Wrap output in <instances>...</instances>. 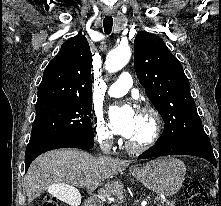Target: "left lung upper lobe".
<instances>
[{
    "label": "left lung upper lobe",
    "instance_id": "5c2ea615",
    "mask_svg": "<svg viewBox=\"0 0 221 206\" xmlns=\"http://www.w3.org/2000/svg\"><path fill=\"white\" fill-rule=\"evenodd\" d=\"M134 67L148 98L165 122L156 143L209 141L183 67L160 37L145 31L136 35Z\"/></svg>",
    "mask_w": 221,
    "mask_h": 206
}]
</instances>
